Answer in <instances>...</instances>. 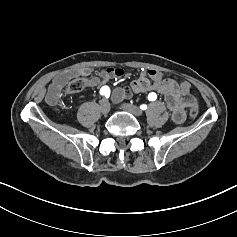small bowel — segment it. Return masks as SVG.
I'll return each instance as SVG.
<instances>
[{
	"instance_id": "1",
	"label": "small bowel",
	"mask_w": 237,
	"mask_h": 237,
	"mask_svg": "<svg viewBox=\"0 0 237 237\" xmlns=\"http://www.w3.org/2000/svg\"><path fill=\"white\" fill-rule=\"evenodd\" d=\"M89 74V68L80 67L57 75L47 90L46 101L50 105H56L62 89L72 78L88 76ZM123 75V69L110 67L103 70L98 76L89 77L87 86L89 88H102L108 81L121 78ZM190 89L191 85L187 81L177 82L172 79H163L160 72L149 70L141 72L128 89L116 88L113 92V100L120 102L131 92H159L164 96L166 105L171 112L172 120L177 124H181L186 118V108L196 104V99L190 94Z\"/></svg>"
}]
</instances>
